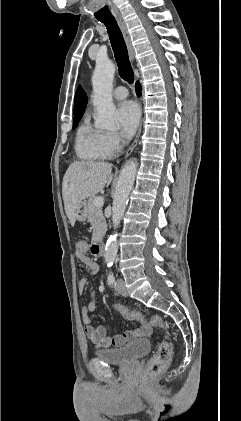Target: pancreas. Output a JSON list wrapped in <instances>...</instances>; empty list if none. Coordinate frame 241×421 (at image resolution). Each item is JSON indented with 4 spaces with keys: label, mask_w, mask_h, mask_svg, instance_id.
Masks as SVG:
<instances>
[{
    "label": "pancreas",
    "mask_w": 241,
    "mask_h": 421,
    "mask_svg": "<svg viewBox=\"0 0 241 421\" xmlns=\"http://www.w3.org/2000/svg\"><path fill=\"white\" fill-rule=\"evenodd\" d=\"M94 197L89 198L87 202L88 214L87 219L93 229V239L102 238L107 230L105 218L103 216L102 207H97L93 203Z\"/></svg>",
    "instance_id": "pancreas-1"
}]
</instances>
